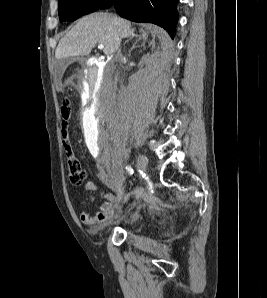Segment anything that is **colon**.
Wrapping results in <instances>:
<instances>
[{"label": "colon", "mask_w": 267, "mask_h": 298, "mask_svg": "<svg viewBox=\"0 0 267 298\" xmlns=\"http://www.w3.org/2000/svg\"><path fill=\"white\" fill-rule=\"evenodd\" d=\"M65 105L66 115H68L69 109ZM63 134V145L67 154V163L70 182L73 185L79 186L82 185L86 179V171L83 168L81 162L74 156L71 148L70 141L66 135L65 129L62 130Z\"/></svg>", "instance_id": "5ec220e1"}]
</instances>
